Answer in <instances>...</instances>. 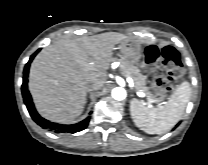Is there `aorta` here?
Masks as SVG:
<instances>
[{"label": "aorta", "instance_id": "obj_1", "mask_svg": "<svg viewBox=\"0 0 208 165\" xmlns=\"http://www.w3.org/2000/svg\"><path fill=\"white\" fill-rule=\"evenodd\" d=\"M112 97L115 100L121 101L126 98V91L122 87H116L112 90Z\"/></svg>", "mask_w": 208, "mask_h": 165}]
</instances>
